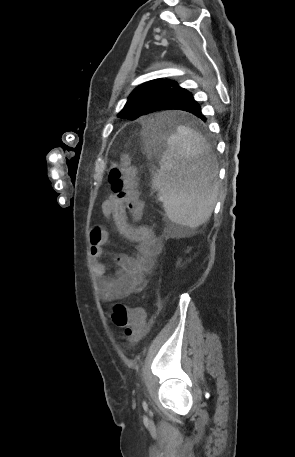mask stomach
Listing matches in <instances>:
<instances>
[{
  "mask_svg": "<svg viewBox=\"0 0 295 457\" xmlns=\"http://www.w3.org/2000/svg\"><path fill=\"white\" fill-rule=\"evenodd\" d=\"M152 137H154V138H156V139H158L159 137H162V138L160 139L161 148H162V149H167V148H168V145H167V136H165V135H162V136L160 135V136H159V135H157V134H152Z\"/></svg>",
  "mask_w": 295,
  "mask_h": 457,
  "instance_id": "1",
  "label": "stomach"
}]
</instances>
